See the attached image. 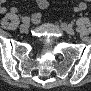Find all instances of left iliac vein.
Masks as SVG:
<instances>
[{
    "label": "left iliac vein",
    "mask_w": 91,
    "mask_h": 91,
    "mask_svg": "<svg viewBox=\"0 0 91 91\" xmlns=\"http://www.w3.org/2000/svg\"><path fill=\"white\" fill-rule=\"evenodd\" d=\"M61 27H62V29H63L66 33H68L69 35H74V34H75L74 29H73V28H69V27H68V24H66V23H62V24H61Z\"/></svg>",
    "instance_id": "obj_1"
}]
</instances>
